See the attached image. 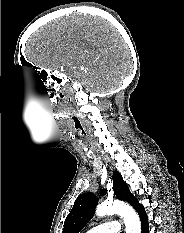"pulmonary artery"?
I'll return each instance as SVG.
<instances>
[{
	"label": "pulmonary artery",
	"instance_id": "obj_1",
	"mask_svg": "<svg viewBox=\"0 0 184 233\" xmlns=\"http://www.w3.org/2000/svg\"><path fill=\"white\" fill-rule=\"evenodd\" d=\"M87 233H120V224L117 221H108L92 228Z\"/></svg>",
	"mask_w": 184,
	"mask_h": 233
}]
</instances>
